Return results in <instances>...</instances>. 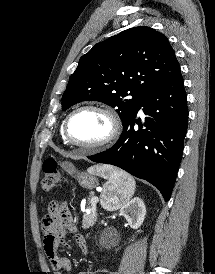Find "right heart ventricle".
<instances>
[{
    "label": "right heart ventricle",
    "instance_id": "obj_1",
    "mask_svg": "<svg viewBox=\"0 0 215 274\" xmlns=\"http://www.w3.org/2000/svg\"><path fill=\"white\" fill-rule=\"evenodd\" d=\"M61 136H62V139L65 143H68L64 137V134H63V124H62V127H61Z\"/></svg>",
    "mask_w": 215,
    "mask_h": 274
}]
</instances>
